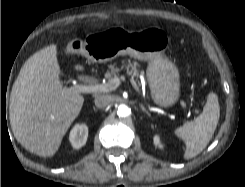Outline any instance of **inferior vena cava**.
<instances>
[{"mask_svg":"<svg viewBox=\"0 0 245 187\" xmlns=\"http://www.w3.org/2000/svg\"><path fill=\"white\" fill-rule=\"evenodd\" d=\"M111 102L110 96L105 94H98L95 97V105L99 108L108 106Z\"/></svg>","mask_w":245,"mask_h":187,"instance_id":"1","label":"inferior vena cava"}]
</instances>
